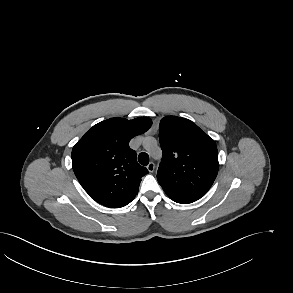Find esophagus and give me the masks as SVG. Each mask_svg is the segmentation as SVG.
Segmentation results:
<instances>
[{"instance_id": "obj_1", "label": "esophagus", "mask_w": 293, "mask_h": 293, "mask_svg": "<svg viewBox=\"0 0 293 293\" xmlns=\"http://www.w3.org/2000/svg\"><path fill=\"white\" fill-rule=\"evenodd\" d=\"M147 169L150 173L154 172L155 170V164L153 162H150L148 165H147Z\"/></svg>"}]
</instances>
